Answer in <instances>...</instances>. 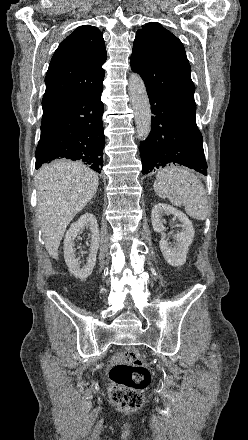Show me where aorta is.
I'll return each mask as SVG.
<instances>
[{"instance_id":"obj_1","label":"aorta","mask_w":248,"mask_h":440,"mask_svg":"<svg viewBox=\"0 0 248 440\" xmlns=\"http://www.w3.org/2000/svg\"><path fill=\"white\" fill-rule=\"evenodd\" d=\"M128 93L134 111L137 137L145 140L151 131V108L145 84L136 73H132L129 78Z\"/></svg>"}]
</instances>
